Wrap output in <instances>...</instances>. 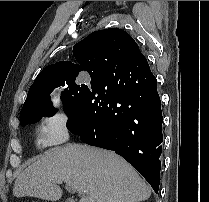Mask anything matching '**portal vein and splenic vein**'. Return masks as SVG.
<instances>
[{
  "instance_id": "portal-vein-and-splenic-vein-1",
  "label": "portal vein and splenic vein",
  "mask_w": 209,
  "mask_h": 202,
  "mask_svg": "<svg viewBox=\"0 0 209 202\" xmlns=\"http://www.w3.org/2000/svg\"><path fill=\"white\" fill-rule=\"evenodd\" d=\"M53 182L57 183V184H61L63 181L61 179L55 178L53 179ZM79 193H86L85 190H78Z\"/></svg>"
}]
</instances>
